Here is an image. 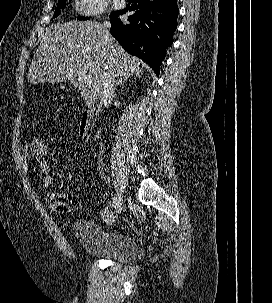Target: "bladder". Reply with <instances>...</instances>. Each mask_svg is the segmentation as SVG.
<instances>
[{
  "label": "bladder",
  "mask_w": 272,
  "mask_h": 303,
  "mask_svg": "<svg viewBox=\"0 0 272 303\" xmlns=\"http://www.w3.org/2000/svg\"><path fill=\"white\" fill-rule=\"evenodd\" d=\"M73 230L83 252L92 258L126 262L138 253L135 241L128 235L102 229L90 219H79Z\"/></svg>",
  "instance_id": "1"
}]
</instances>
